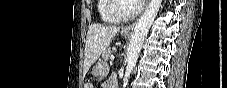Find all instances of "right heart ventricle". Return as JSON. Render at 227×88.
I'll use <instances>...</instances> for the list:
<instances>
[{
    "label": "right heart ventricle",
    "instance_id": "e07e8e85",
    "mask_svg": "<svg viewBox=\"0 0 227 88\" xmlns=\"http://www.w3.org/2000/svg\"><path fill=\"white\" fill-rule=\"evenodd\" d=\"M110 0H97L98 12L102 21L107 23H116L118 22L109 12Z\"/></svg>",
    "mask_w": 227,
    "mask_h": 88
}]
</instances>
